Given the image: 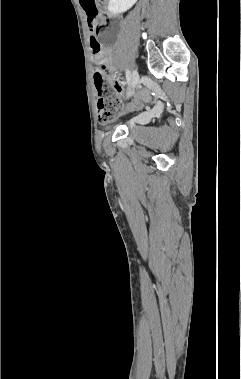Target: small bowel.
I'll return each mask as SVG.
<instances>
[{
    "label": "small bowel",
    "instance_id": "obj_1",
    "mask_svg": "<svg viewBox=\"0 0 241 379\" xmlns=\"http://www.w3.org/2000/svg\"><path fill=\"white\" fill-rule=\"evenodd\" d=\"M107 68H108V71L111 74L114 73V68L111 65H108ZM109 81L111 82V84H112L115 92L117 94H121L122 91H123V89H122V82H120L118 80H112V79H110ZM149 98H150V93H149L148 90L143 89V90L138 91L135 94V97H134L133 101L126 106V110L127 111H132V110H136V109L141 108L142 105H143V103L147 102L149 100ZM158 107L161 108L162 104L159 103Z\"/></svg>",
    "mask_w": 241,
    "mask_h": 379
}]
</instances>
